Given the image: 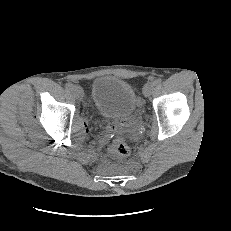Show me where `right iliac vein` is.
<instances>
[{
    "mask_svg": "<svg viewBox=\"0 0 231 231\" xmlns=\"http://www.w3.org/2000/svg\"><path fill=\"white\" fill-rule=\"evenodd\" d=\"M71 91H72L73 95L76 96V97L81 96L82 92H83L82 88L80 86H78V85H74L72 87Z\"/></svg>",
    "mask_w": 231,
    "mask_h": 231,
    "instance_id": "obj_1",
    "label": "right iliac vein"
}]
</instances>
